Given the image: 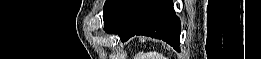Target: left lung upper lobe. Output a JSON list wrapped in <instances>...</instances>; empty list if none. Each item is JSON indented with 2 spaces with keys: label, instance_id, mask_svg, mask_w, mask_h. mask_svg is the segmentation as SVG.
<instances>
[{
  "label": "left lung upper lobe",
  "instance_id": "5c2ea615",
  "mask_svg": "<svg viewBox=\"0 0 261 59\" xmlns=\"http://www.w3.org/2000/svg\"><path fill=\"white\" fill-rule=\"evenodd\" d=\"M120 0H107L104 6L103 19L111 12Z\"/></svg>",
  "mask_w": 261,
  "mask_h": 59
}]
</instances>
